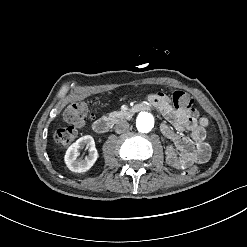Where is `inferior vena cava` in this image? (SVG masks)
<instances>
[{
    "mask_svg": "<svg viewBox=\"0 0 247 247\" xmlns=\"http://www.w3.org/2000/svg\"><path fill=\"white\" fill-rule=\"evenodd\" d=\"M114 129L117 134L124 133L129 129V123H127L126 121H120L116 123Z\"/></svg>",
    "mask_w": 247,
    "mask_h": 247,
    "instance_id": "obj_1",
    "label": "inferior vena cava"
}]
</instances>
